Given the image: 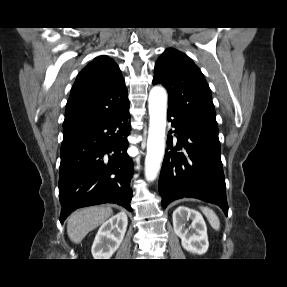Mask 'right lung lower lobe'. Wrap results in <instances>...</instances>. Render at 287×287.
<instances>
[{"mask_svg":"<svg viewBox=\"0 0 287 287\" xmlns=\"http://www.w3.org/2000/svg\"><path fill=\"white\" fill-rule=\"evenodd\" d=\"M129 103L120 110L63 130L59 171L60 222L74 210L116 203L132 211L133 167L126 149Z\"/></svg>","mask_w":287,"mask_h":287,"instance_id":"right-lung-lower-lobe-1","label":"right lung lower lobe"}]
</instances>
